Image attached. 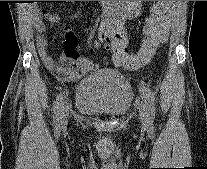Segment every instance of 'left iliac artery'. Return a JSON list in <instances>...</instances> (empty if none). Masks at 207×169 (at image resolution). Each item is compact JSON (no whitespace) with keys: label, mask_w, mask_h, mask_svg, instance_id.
I'll use <instances>...</instances> for the list:
<instances>
[{"label":"left iliac artery","mask_w":207,"mask_h":169,"mask_svg":"<svg viewBox=\"0 0 207 169\" xmlns=\"http://www.w3.org/2000/svg\"><path fill=\"white\" fill-rule=\"evenodd\" d=\"M143 96H144V100H145V107L147 110V116L150 121H153L155 118L154 94L149 88L143 86Z\"/></svg>","instance_id":"44dca946"}]
</instances>
